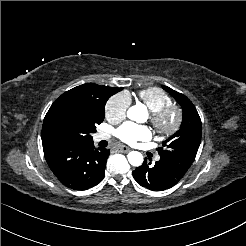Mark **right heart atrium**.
<instances>
[{
    "instance_id": "d8ad5b80",
    "label": "right heart atrium",
    "mask_w": 246,
    "mask_h": 246,
    "mask_svg": "<svg viewBox=\"0 0 246 246\" xmlns=\"http://www.w3.org/2000/svg\"><path fill=\"white\" fill-rule=\"evenodd\" d=\"M131 104V98L127 92H120L112 96L105 105V116L116 123L124 119Z\"/></svg>"
}]
</instances>
